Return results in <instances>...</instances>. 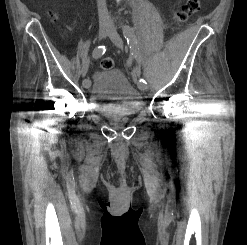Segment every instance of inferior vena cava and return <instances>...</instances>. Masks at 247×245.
I'll return each instance as SVG.
<instances>
[{
  "instance_id": "602c4592",
  "label": "inferior vena cava",
  "mask_w": 247,
  "mask_h": 245,
  "mask_svg": "<svg viewBox=\"0 0 247 245\" xmlns=\"http://www.w3.org/2000/svg\"><path fill=\"white\" fill-rule=\"evenodd\" d=\"M99 24L101 27H108L109 13L106 6V0H97Z\"/></svg>"
}]
</instances>
